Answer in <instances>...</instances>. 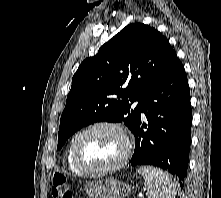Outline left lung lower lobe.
Instances as JSON below:
<instances>
[{
    "instance_id": "1",
    "label": "left lung lower lobe",
    "mask_w": 221,
    "mask_h": 198,
    "mask_svg": "<svg viewBox=\"0 0 221 198\" xmlns=\"http://www.w3.org/2000/svg\"><path fill=\"white\" fill-rule=\"evenodd\" d=\"M144 113L148 123L141 122ZM133 130L135 150L131 165L163 168L179 180L187 174L192 110L184 67L176 53L166 71L147 93ZM181 188L184 184L180 183Z\"/></svg>"
}]
</instances>
